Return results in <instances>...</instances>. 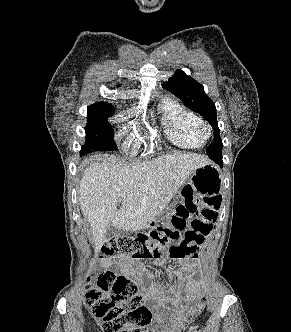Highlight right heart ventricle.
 Here are the masks:
<instances>
[{
    "mask_svg": "<svg viewBox=\"0 0 291 332\" xmlns=\"http://www.w3.org/2000/svg\"><path fill=\"white\" fill-rule=\"evenodd\" d=\"M160 110L165 134L174 145L187 149L204 145L199 130L202 120L194 112L174 99L163 101Z\"/></svg>",
    "mask_w": 291,
    "mask_h": 332,
    "instance_id": "1",
    "label": "right heart ventricle"
}]
</instances>
